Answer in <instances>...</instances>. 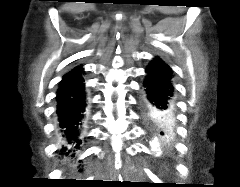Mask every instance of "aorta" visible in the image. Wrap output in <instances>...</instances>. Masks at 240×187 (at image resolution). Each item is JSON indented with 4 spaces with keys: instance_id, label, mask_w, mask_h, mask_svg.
I'll return each instance as SVG.
<instances>
[{
    "instance_id": "aorta-1",
    "label": "aorta",
    "mask_w": 240,
    "mask_h": 187,
    "mask_svg": "<svg viewBox=\"0 0 240 187\" xmlns=\"http://www.w3.org/2000/svg\"><path fill=\"white\" fill-rule=\"evenodd\" d=\"M150 145H151L152 150H154V151L160 150L161 141L157 135H154V134L151 135Z\"/></svg>"
}]
</instances>
